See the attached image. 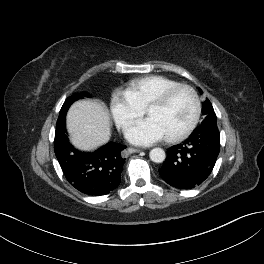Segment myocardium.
I'll return each mask as SVG.
<instances>
[{
	"label": "myocardium",
	"mask_w": 264,
	"mask_h": 264,
	"mask_svg": "<svg viewBox=\"0 0 264 264\" xmlns=\"http://www.w3.org/2000/svg\"><path fill=\"white\" fill-rule=\"evenodd\" d=\"M181 90H186L191 94L193 101H194V114H193V117H192L190 124L182 132H180L176 135H173V136L165 137V140L169 143H177V142L184 140L196 128V126L200 120L201 112H202L201 101H200V98H199L197 91L190 85L178 84V85H175V86H172V87L166 89L158 97H156L153 101H151L148 104V106L145 108V114L148 115V112L150 110L165 106L170 101V99L177 92H179Z\"/></svg>",
	"instance_id": "obj_1"
}]
</instances>
